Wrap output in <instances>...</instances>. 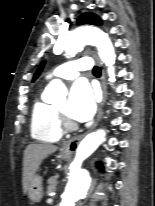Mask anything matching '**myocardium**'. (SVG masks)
<instances>
[{"label":"myocardium","instance_id":"obj_1","mask_svg":"<svg viewBox=\"0 0 155 206\" xmlns=\"http://www.w3.org/2000/svg\"><path fill=\"white\" fill-rule=\"evenodd\" d=\"M56 112H57L58 118L61 120L63 127L66 130H74L75 129V125L67 119L64 111L60 110L59 108H56Z\"/></svg>","mask_w":155,"mask_h":206}]
</instances>
